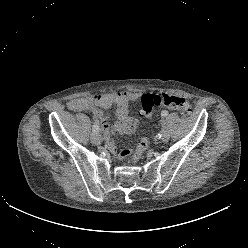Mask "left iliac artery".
<instances>
[{
  "label": "left iliac artery",
  "mask_w": 248,
  "mask_h": 248,
  "mask_svg": "<svg viewBox=\"0 0 248 248\" xmlns=\"http://www.w3.org/2000/svg\"><path fill=\"white\" fill-rule=\"evenodd\" d=\"M168 115V111H166V110H163L162 112H161V116H163V117H166ZM162 134H163V129H162V131L160 132V137L162 136Z\"/></svg>",
  "instance_id": "left-iliac-artery-1"
}]
</instances>
